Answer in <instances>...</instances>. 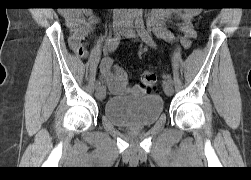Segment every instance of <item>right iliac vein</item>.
Instances as JSON below:
<instances>
[{"label": "right iliac vein", "mask_w": 251, "mask_h": 180, "mask_svg": "<svg viewBox=\"0 0 251 180\" xmlns=\"http://www.w3.org/2000/svg\"><path fill=\"white\" fill-rule=\"evenodd\" d=\"M125 27L124 21H115L113 24V32L115 35H119L123 32ZM96 98L98 100H103L106 96V87L104 85H100L96 88Z\"/></svg>", "instance_id": "1"}]
</instances>
